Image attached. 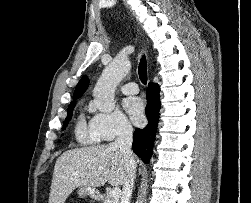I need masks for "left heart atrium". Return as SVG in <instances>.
I'll return each mask as SVG.
<instances>
[{"mask_svg": "<svg viewBox=\"0 0 251 203\" xmlns=\"http://www.w3.org/2000/svg\"><path fill=\"white\" fill-rule=\"evenodd\" d=\"M125 107L135 124L140 125L144 122V104L141 99H127L125 101Z\"/></svg>", "mask_w": 251, "mask_h": 203, "instance_id": "left-heart-atrium-1", "label": "left heart atrium"}]
</instances>
